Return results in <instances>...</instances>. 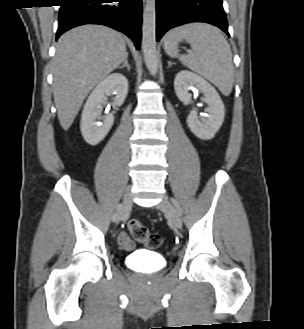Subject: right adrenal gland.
I'll return each instance as SVG.
<instances>
[{
	"label": "right adrenal gland",
	"mask_w": 304,
	"mask_h": 329,
	"mask_svg": "<svg viewBox=\"0 0 304 329\" xmlns=\"http://www.w3.org/2000/svg\"><path fill=\"white\" fill-rule=\"evenodd\" d=\"M126 67L128 71H130V65L128 63V55L125 57L123 64L119 67V69H122Z\"/></svg>",
	"instance_id": "2a0ac1e0"
}]
</instances>
